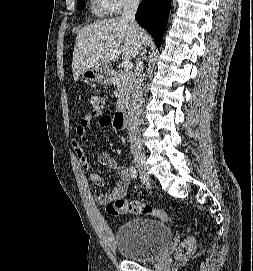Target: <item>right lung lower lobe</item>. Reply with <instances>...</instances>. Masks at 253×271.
Returning a JSON list of instances; mask_svg holds the SVG:
<instances>
[{"mask_svg":"<svg viewBox=\"0 0 253 271\" xmlns=\"http://www.w3.org/2000/svg\"><path fill=\"white\" fill-rule=\"evenodd\" d=\"M170 7L171 0H143L135 16L137 22L153 36L157 47L162 43Z\"/></svg>","mask_w":253,"mask_h":271,"instance_id":"obj_1","label":"right lung lower lobe"}]
</instances>
